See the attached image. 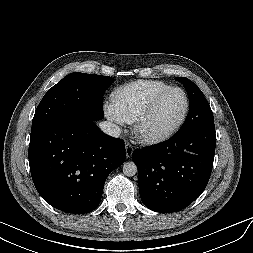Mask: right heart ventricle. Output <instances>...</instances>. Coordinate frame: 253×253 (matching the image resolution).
Listing matches in <instances>:
<instances>
[{
    "instance_id": "e07e8e85",
    "label": "right heart ventricle",
    "mask_w": 253,
    "mask_h": 253,
    "mask_svg": "<svg viewBox=\"0 0 253 253\" xmlns=\"http://www.w3.org/2000/svg\"><path fill=\"white\" fill-rule=\"evenodd\" d=\"M170 87L160 80H138L120 87L113 105L126 123H135L148 102L158 92Z\"/></svg>"
}]
</instances>
